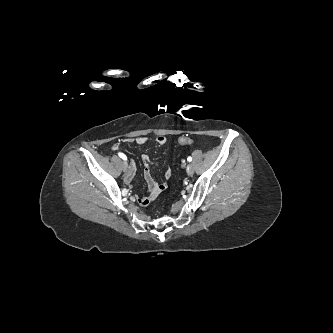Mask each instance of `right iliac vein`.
<instances>
[{
    "instance_id": "obj_1",
    "label": "right iliac vein",
    "mask_w": 333,
    "mask_h": 333,
    "mask_svg": "<svg viewBox=\"0 0 333 333\" xmlns=\"http://www.w3.org/2000/svg\"><path fill=\"white\" fill-rule=\"evenodd\" d=\"M127 168H128V164H127V162H126V161H123V162H122V169H123V171H126Z\"/></svg>"
}]
</instances>
